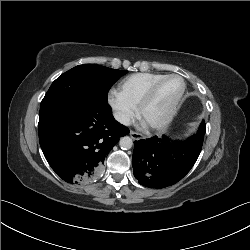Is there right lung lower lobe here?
<instances>
[{
	"instance_id": "obj_1",
	"label": "right lung lower lobe",
	"mask_w": 250,
	"mask_h": 250,
	"mask_svg": "<svg viewBox=\"0 0 250 250\" xmlns=\"http://www.w3.org/2000/svg\"><path fill=\"white\" fill-rule=\"evenodd\" d=\"M39 142L47 162L68 183H88L100 173L108 152L129 129L108 102L79 97L39 115Z\"/></svg>"
}]
</instances>
